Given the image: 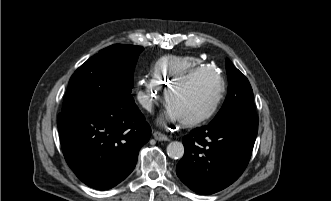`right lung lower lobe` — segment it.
I'll return each instance as SVG.
<instances>
[{"label": "right lung lower lobe", "mask_w": 331, "mask_h": 201, "mask_svg": "<svg viewBox=\"0 0 331 201\" xmlns=\"http://www.w3.org/2000/svg\"><path fill=\"white\" fill-rule=\"evenodd\" d=\"M65 160L89 187L106 190L135 168L151 128L132 95L89 103L58 116Z\"/></svg>", "instance_id": "obj_1"}]
</instances>
